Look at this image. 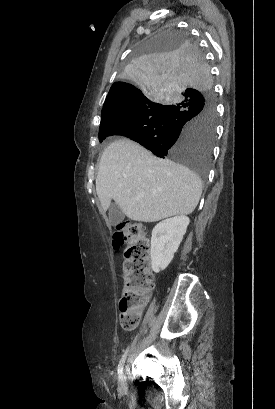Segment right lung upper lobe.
Returning a JSON list of instances; mask_svg holds the SVG:
<instances>
[{
  "label": "right lung upper lobe",
  "mask_w": 275,
  "mask_h": 409,
  "mask_svg": "<svg viewBox=\"0 0 275 409\" xmlns=\"http://www.w3.org/2000/svg\"><path fill=\"white\" fill-rule=\"evenodd\" d=\"M142 94L143 90H137L136 85H125V82H115L106 97L102 112L111 109L122 100Z\"/></svg>",
  "instance_id": "right-lung-upper-lobe-1"
}]
</instances>
